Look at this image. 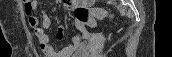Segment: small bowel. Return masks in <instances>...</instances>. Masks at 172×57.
Listing matches in <instances>:
<instances>
[{"mask_svg":"<svg viewBox=\"0 0 172 57\" xmlns=\"http://www.w3.org/2000/svg\"><path fill=\"white\" fill-rule=\"evenodd\" d=\"M24 6L28 16V25L33 30V33L38 41L39 48L46 57H70L76 52H83L85 50V45L82 42L81 35L76 34L69 45L63 47L58 52L55 51L49 42V35L46 33V30L51 25L50 18L45 14V11L40 7L37 1L26 0L24 1ZM37 15L42 17L41 21ZM56 35L58 39L63 38V25L58 26Z\"/></svg>","mask_w":172,"mask_h":57,"instance_id":"obj_1","label":"small bowel"}]
</instances>
